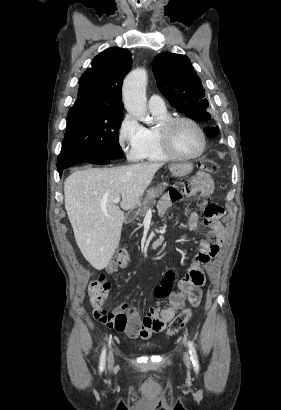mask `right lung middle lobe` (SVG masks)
<instances>
[{
	"label": "right lung middle lobe",
	"mask_w": 281,
	"mask_h": 410,
	"mask_svg": "<svg viewBox=\"0 0 281 410\" xmlns=\"http://www.w3.org/2000/svg\"><path fill=\"white\" fill-rule=\"evenodd\" d=\"M123 111L73 106L57 160V169L77 160H112L123 157L119 128Z\"/></svg>",
	"instance_id": "1"
}]
</instances>
